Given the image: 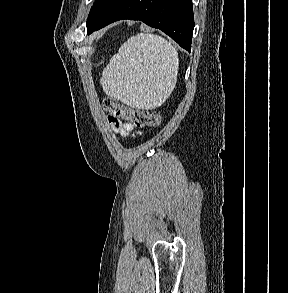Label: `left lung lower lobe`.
<instances>
[{"label": "left lung lower lobe", "mask_w": 288, "mask_h": 293, "mask_svg": "<svg viewBox=\"0 0 288 293\" xmlns=\"http://www.w3.org/2000/svg\"><path fill=\"white\" fill-rule=\"evenodd\" d=\"M122 19L158 28L190 52L194 29L192 0H120L88 34Z\"/></svg>", "instance_id": "left-lung-lower-lobe-1"}]
</instances>
